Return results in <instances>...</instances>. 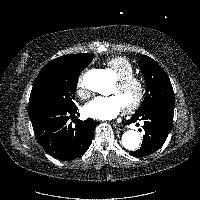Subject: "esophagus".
<instances>
[{
    "mask_svg": "<svg viewBox=\"0 0 200 200\" xmlns=\"http://www.w3.org/2000/svg\"><path fill=\"white\" fill-rule=\"evenodd\" d=\"M113 127L117 130V131H121L123 130V126L122 125H119V124H113Z\"/></svg>",
    "mask_w": 200,
    "mask_h": 200,
    "instance_id": "obj_1",
    "label": "esophagus"
}]
</instances>
